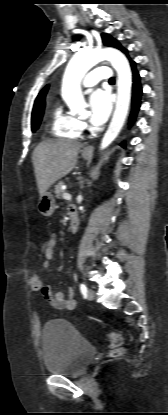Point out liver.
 <instances>
[{
  "label": "liver",
  "mask_w": 168,
  "mask_h": 415,
  "mask_svg": "<svg viewBox=\"0 0 168 415\" xmlns=\"http://www.w3.org/2000/svg\"><path fill=\"white\" fill-rule=\"evenodd\" d=\"M81 147L82 144L76 141L49 139L34 149L32 162L40 196L74 169Z\"/></svg>",
  "instance_id": "6515ba94"
}]
</instances>
